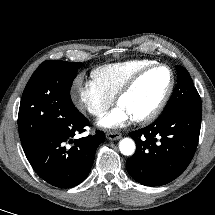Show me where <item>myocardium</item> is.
Instances as JSON below:
<instances>
[{
    "label": "myocardium",
    "instance_id": "1",
    "mask_svg": "<svg viewBox=\"0 0 215 215\" xmlns=\"http://www.w3.org/2000/svg\"><path fill=\"white\" fill-rule=\"evenodd\" d=\"M156 68H166L170 74V82L168 85V88L166 90V92L164 93L163 97L161 98V100L159 101V103L156 105V107L149 112L148 114L139 117V118H135L133 119L134 122L138 123V124H148L150 122H152L153 120H155L164 110V108L166 107L172 93L175 87V75L174 72L172 70V68L164 63H153L151 65H148L146 67H144L143 69L139 70L137 73H135L123 86L122 88L119 90V92L116 95V103H119V101L126 96L127 94H129L133 88L137 85V83L146 75L148 74L150 71L156 69Z\"/></svg>",
    "mask_w": 215,
    "mask_h": 215
}]
</instances>
